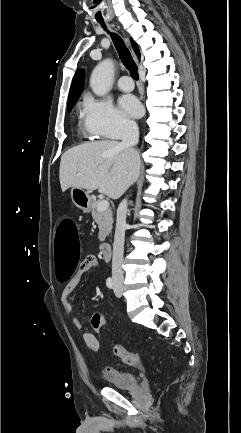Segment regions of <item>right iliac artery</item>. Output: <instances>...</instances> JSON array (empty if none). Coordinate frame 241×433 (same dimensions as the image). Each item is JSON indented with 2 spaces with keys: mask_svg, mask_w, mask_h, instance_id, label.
<instances>
[{
  "mask_svg": "<svg viewBox=\"0 0 241 433\" xmlns=\"http://www.w3.org/2000/svg\"><path fill=\"white\" fill-rule=\"evenodd\" d=\"M106 285H107L110 289H112V288L114 287V282H113L112 278H108V279L106 280Z\"/></svg>",
  "mask_w": 241,
  "mask_h": 433,
  "instance_id": "right-iliac-artery-1",
  "label": "right iliac artery"
}]
</instances>
